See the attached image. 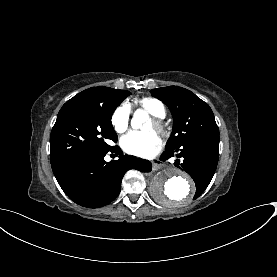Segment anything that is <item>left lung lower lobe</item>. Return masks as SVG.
I'll return each instance as SVG.
<instances>
[{
  "label": "left lung lower lobe",
  "mask_w": 277,
  "mask_h": 277,
  "mask_svg": "<svg viewBox=\"0 0 277 277\" xmlns=\"http://www.w3.org/2000/svg\"><path fill=\"white\" fill-rule=\"evenodd\" d=\"M174 154L183 158L182 164L177 159L174 165L183 168L193 178L197 198L207 188L215 173L219 158V135H206L186 141L179 148L163 152L161 160L173 157Z\"/></svg>",
  "instance_id": "left-lung-lower-lobe-1"
}]
</instances>
